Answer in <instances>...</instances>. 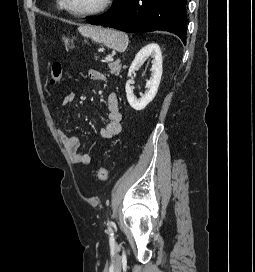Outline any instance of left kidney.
Returning a JSON list of instances; mask_svg holds the SVG:
<instances>
[{"mask_svg":"<svg viewBox=\"0 0 255 272\" xmlns=\"http://www.w3.org/2000/svg\"><path fill=\"white\" fill-rule=\"evenodd\" d=\"M152 57L153 64L151 68V77L150 80L146 82L147 91L141 98H136L133 94V89L130 86L131 81L128 80L125 86L127 100L130 106L135 110L144 109L156 96L158 91V87L160 84L161 76H162V54L158 44L151 43L143 47L135 56L129 71L128 77L132 75L134 70L137 67H140L144 61V59Z\"/></svg>","mask_w":255,"mask_h":272,"instance_id":"left-kidney-1","label":"left kidney"}]
</instances>
